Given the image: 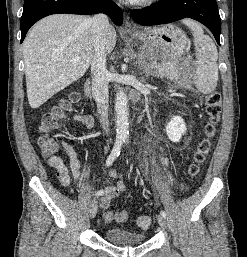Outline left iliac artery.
Segmentation results:
<instances>
[{
    "instance_id": "1",
    "label": "left iliac artery",
    "mask_w": 247,
    "mask_h": 257,
    "mask_svg": "<svg viewBox=\"0 0 247 257\" xmlns=\"http://www.w3.org/2000/svg\"><path fill=\"white\" fill-rule=\"evenodd\" d=\"M124 142L127 143V140H124ZM160 214H161L162 216L166 217V212H165V211L161 210V211H160Z\"/></svg>"
}]
</instances>
